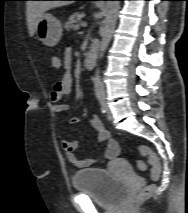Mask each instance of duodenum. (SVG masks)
Listing matches in <instances>:
<instances>
[{
	"instance_id": "obj_1",
	"label": "duodenum",
	"mask_w": 188,
	"mask_h": 213,
	"mask_svg": "<svg viewBox=\"0 0 188 213\" xmlns=\"http://www.w3.org/2000/svg\"><path fill=\"white\" fill-rule=\"evenodd\" d=\"M98 44L96 42H92L90 46V50L85 58V67L86 68H93L97 61L98 55Z\"/></svg>"
}]
</instances>
